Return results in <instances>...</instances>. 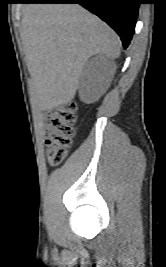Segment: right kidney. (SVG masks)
<instances>
[{
	"instance_id": "right-kidney-1",
	"label": "right kidney",
	"mask_w": 166,
	"mask_h": 267,
	"mask_svg": "<svg viewBox=\"0 0 166 267\" xmlns=\"http://www.w3.org/2000/svg\"><path fill=\"white\" fill-rule=\"evenodd\" d=\"M110 70L111 66L105 61H94L91 72L85 73L80 81V99L83 102L92 103L105 92L104 72Z\"/></svg>"
}]
</instances>
